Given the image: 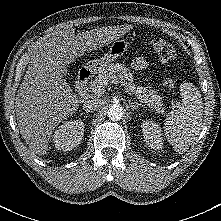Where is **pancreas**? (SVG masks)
I'll return each mask as SVG.
<instances>
[{
  "label": "pancreas",
  "instance_id": "cf45deb5",
  "mask_svg": "<svg viewBox=\"0 0 221 221\" xmlns=\"http://www.w3.org/2000/svg\"><path fill=\"white\" fill-rule=\"evenodd\" d=\"M117 76L128 94L135 95L141 103L155 109L157 113L164 114L162 98L158 96L156 91L150 90V87L137 86L134 83L131 71L124 64H109L92 82L90 86L91 91L95 94L104 93L108 82L113 81ZM99 86L100 91L94 92Z\"/></svg>",
  "mask_w": 221,
  "mask_h": 221
}]
</instances>
